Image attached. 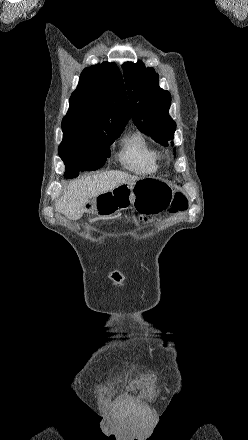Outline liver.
I'll list each match as a JSON object with an SVG mask.
<instances>
[{
  "label": "liver",
  "instance_id": "6515ba94",
  "mask_svg": "<svg viewBox=\"0 0 248 440\" xmlns=\"http://www.w3.org/2000/svg\"><path fill=\"white\" fill-rule=\"evenodd\" d=\"M140 178L121 171H107L72 182L68 191L56 202V211L69 220H77L85 213L86 204L119 185H133Z\"/></svg>",
  "mask_w": 248,
  "mask_h": 440
}]
</instances>
